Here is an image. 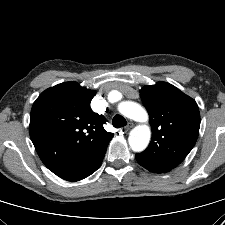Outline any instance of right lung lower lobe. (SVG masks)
<instances>
[{
	"mask_svg": "<svg viewBox=\"0 0 225 225\" xmlns=\"http://www.w3.org/2000/svg\"><path fill=\"white\" fill-rule=\"evenodd\" d=\"M105 152H106V151H105ZM104 155H105V153H104ZM104 155L102 156L100 163H99V164L96 166V168L94 169V172H95V171L99 168V166L101 165Z\"/></svg>",
	"mask_w": 225,
	"mask_h": 225,
	"instance_id": "right-lung-lower-lobe-1",
	"label": "right lung lower lobe"
}]
</instances>
